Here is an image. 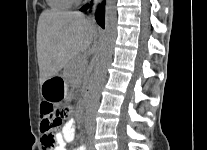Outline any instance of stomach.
<instances>
[{
	"label": "stomach",
	"mask_w": 207,
	"mask_h": 150,
	"mask_svg": "<svg viewBox=\"0 0 207 150\" xmlns=\"http://www.w3.org/2000/svg\"><path fill=\"white\" fill-rule=\"evenodd\" d=\"M41 94L47 100H62L68 95L67 81L60 76H54L41 85Z\"/></svg>",
	"instance_id": "0dacf381"
}]
</instances>
